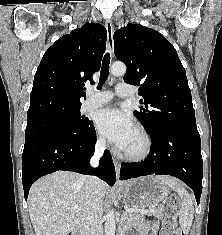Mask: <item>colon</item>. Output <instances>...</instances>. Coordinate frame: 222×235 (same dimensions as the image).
<instances>
[{
	"instance_id": "obj_1",
	"label": "colon",
	"mask_w": 222,
	"mask_h": 235,
	"mask_svg": "<svg viewBox=\"0 0 222 235\" xmlns=\"http://www.w3.org/2000/svg\"><path fill=\"white\" fill-rule=\"evenodd\" d=\"M178 202L175 199L167 202L165 206V220L159 235H183L182 230L177 226L175 212L178 210Z\"/></svg>"
}]
</instances>
